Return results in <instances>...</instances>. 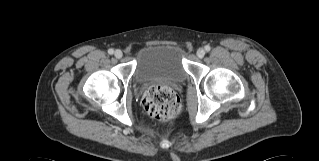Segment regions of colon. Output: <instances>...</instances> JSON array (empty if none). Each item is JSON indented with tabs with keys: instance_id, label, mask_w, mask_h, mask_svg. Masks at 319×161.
<instances>
[{
	"instance_id": "1",
	"label": "colon",
	"mask_w": 319,
	"mask_h": 161,
	"mask_svg": "<svg viewBox=\"0 0 319 161\" xmlns=\"http://www.w3.org/2000/svg\"><path fill=\"white\" fill-rule=\"evenodd\" d=\"M142 105L147 114L159 121L175 118L181 109V103L176 93L167 86L150 87L142 98Z\"/></svg>"
}]
</instances>
